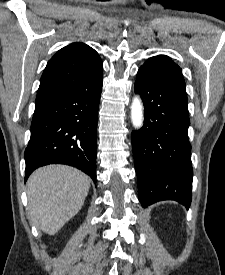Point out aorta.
Returning a JSON list of instances; mask_svg holds the SVG:
<instances>
[{
    "label": "aorta",
    "mask_w": 225,
    "mask_h": 275,
    "mask_svg": "<svg viewBox=\"0 0 225 275\" xmlns=\"http://www.w3.org/2000/svg\"><path fill=\"white\" fill-rule=\"evenodd\" d=\"M131 121L135 129H139L143 125V121H144L143 105L139 96H135L132 101Z\"/></svg>",
    "instance_id": "1"
}]
</instances>
